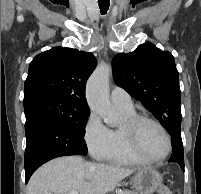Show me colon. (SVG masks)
Wrapping results in <instances>:
<instances>
[{
  "instance_id": "5ec220e1",
  "label": "colon",
  "mask_w": 201,
  "mask_h": 194,
  "mask_svg": "<svg viewBox=\"0 0 201 194\" xmlns=\"http://www.w3.org/2000/svg\"><path fill=\"white\" fill-rule=\"evenodd\" d=\"M156 194H172L171 189L169 188V186L167 184H162L158 190Z\"/></svg>"
}]
</instances>
